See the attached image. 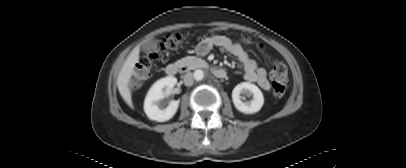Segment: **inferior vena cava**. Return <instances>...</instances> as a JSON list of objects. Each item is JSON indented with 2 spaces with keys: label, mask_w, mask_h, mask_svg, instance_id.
Returning <instances> with one entry per match:
<instances>
[{
  "label": "inferior vena cava",
  "mask_w": 406,
  "mask_h": 168,
  "mask_svg": "<svg viewBox=\"0 0 406 168\" xmlns=\"http://www.w3.org/2000/svg\"><path fill=\"white\" fill-rule=\"evenodd\" d=\"M193 82H194L193 74L191 72L185 74V76H184V84L186 86H191V85H193Z\"/></svg>",
  "instance_id": "obj_1"
}]
</instances>
